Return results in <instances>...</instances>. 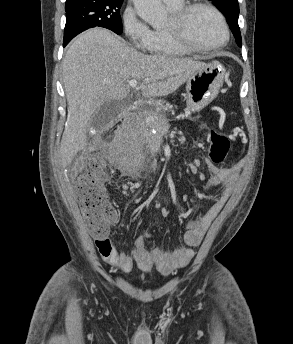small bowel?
Here are the masks:
<instances>
[{"instance_id": "1", "label": "small bowel", "mask_w": 293, "mask_h": 344, "mask_svg": "<svg viewBox=\"0 0 293 344\" xmlns=\"http://www.w3.org/2000/svg\"><path fill=\"white\" fill-rule=\"evenodd\" d=\"M206 166L209 177L204 183L203 189L209 190L221 185L222 193L203 216L189 223L184 236V246L178 247L172 252H166L159 248L149 250L146 247L145 239L138 238L132 251L126 253L117 249L109 237H104L95 240V246L104 261L122 273L130 272L135 264L141 269L155 265L162 272L185 267L194 256L193 247L201 243L208 227L236 189L242 167L239 163L231 167L219 168L210 162H207ZM147 237L153 238L154 234L149 233Z\"/></svg>"}]
</instances>
